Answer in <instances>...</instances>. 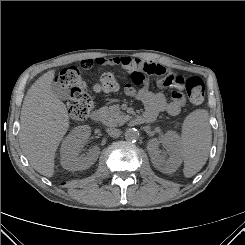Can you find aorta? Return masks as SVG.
Segmentation results:
<instances>
[{
    "label": "aorta",
    "instance_id": "1",
    "mask_svg": "<svg viewBox=\"0 0 245 245\" xmlns=\"http://www.w3.org/2000/svg\"><path fill=\"white\" fill-rule=\"evenodd\" d=\"M139 138V131L135 128H129L125 131V139L127 141H136Z\"/></svg>",
    "mask_w": 245,
    "mask_h": 245
}]
</instances>
